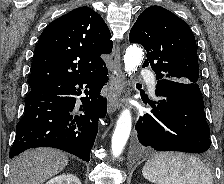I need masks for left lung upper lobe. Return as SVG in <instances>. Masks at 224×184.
I'll use <instances>...</instances> for the list:
<instances>
[{
	"instance_id": "left-lung-upper-lobe-1",
	"label": "left lung upper lobe",
	"mask_w": 224,
	"mask_h": 184,
	"mask_svg": "<svg viewBox=\"0 0 224 184\" xmlns=\"http://www.w3.org/2000/svg\"><path fill=\"white\" fill-rule=\"evenodd\" d=\"M129 41L144 46L156 79L197 83V47L190 27L178 16L160 6L146 8L133 25Z\"/></svg>"
}]
</instances>
